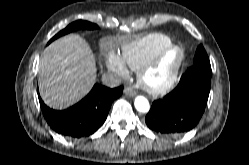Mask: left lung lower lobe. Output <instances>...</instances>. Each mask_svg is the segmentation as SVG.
Listing matches in <instances>:
<instances>
[{
	"label": "left lung lower lobe",
	"instance_id": "1",
	"mask_svg": "<svg viewBox=\"0 0 249 165\" xmlns=\"http://www.w3.org/2000/svg\"><path fill=\"white\" fill-rule=\"evenodd\" d=\"M211 68L190 67L177 87L152 103L147 126L167 136H178L194 128L205 110L211 86Z\"/></svg>",
	"mask_w": 249,
	"mask_h": 165
}]
</instances>
